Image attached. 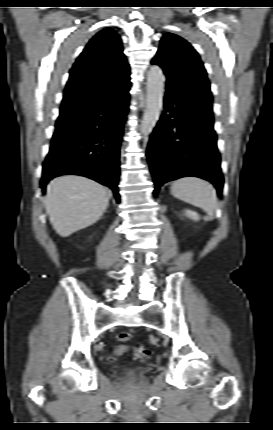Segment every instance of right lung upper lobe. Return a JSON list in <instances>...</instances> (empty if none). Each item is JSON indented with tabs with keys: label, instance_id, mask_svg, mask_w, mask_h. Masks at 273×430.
Here are the masks:
<instances>
[{
	"label": "right lung upper lobe",
	"instance_id": "cb5924a9",
	"mask_svg": "<svg viewBox=\"0 0 273 430\" xmlns=\"http://www.w3.org/2000/svg\"><path fill=\"white\" fill-rule=\"evenodd\" d=\"M130 85V68L120 37L110 28L97 33L73 65L64 91L61 112L80 113L95 94L108 86Z\"/></svg>",
	"mask_w": 273,
	"mask_h": 430
}]
</instances>
